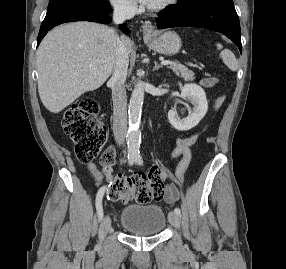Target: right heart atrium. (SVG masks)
<instances>
[{"mask_svg": "<svg viewBox=\"0 0 286 269\" xmlns=\"http://www.w3.org/2000/svg\"><path fill=\"white\" fill-rule=\"evenodd\" d=\"M113 8L123 14H132L136 7L132 0H109Z\"/></svg>", "mask_w": 286, "mask_h": 269, "instance_id": "obj_1", "label": "right heart atrium"}]
</instances>
